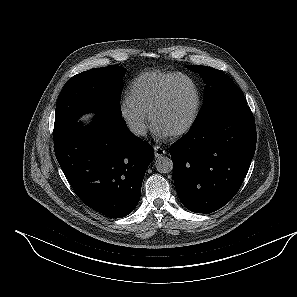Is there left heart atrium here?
Here are the masks:
<instances>
[{
  "mask_svg": "<svg viewBox=\"0 0 297 297\" xmlns=\"http://www.w3.org/2000/svg\"><path fill=\"white\" fill-rule=\"evenodd\" d=\"M154 133L157 135V136H160V137H164L166 136V134H164L163 132H161L160 130L156 129L154 127Z\"/></svg>",
  "mask_w": 297,
  "mask_h": 297,
  "instance_id": "39dd6f15",
  "label": "left heart atrium"
}]
</instances>
